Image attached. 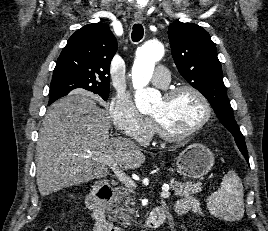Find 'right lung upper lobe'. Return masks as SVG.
<instances>
[{
    "instance_id": "obj_1",
    "label": "right lung upper lobe",
    "mask_w": 268,
    "mask_h": 231,
    "mask_svg": "<svg viewBox=\"0 0 268 231\" xmlns=\"http://www.w3.org/2000/svg\"><path fill=\"white\" fill-rule=\"evenodd\" d=\"M117 40L106 23L88 24L77 30L63 48L53 72L50 88L91 92L109 91L110 63ZM66 94V95H67ZM65 95L49 97V104Z\"/></svg>"
}]
</instances>
